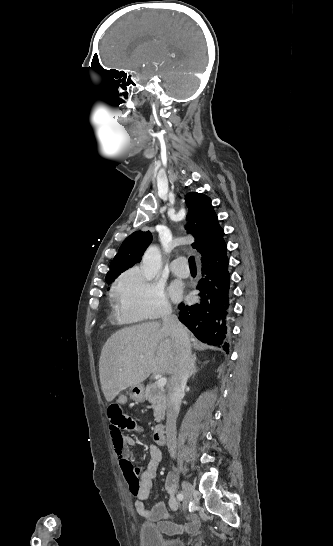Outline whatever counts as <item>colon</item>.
I'll list each match as a JSON object with an SVG mask.
<instances>
[{
	"label": "colon",
	"instance_id": "1",
	"mask_svg": "<svg viewBox=\"0 0 333 546\" xmlns=\"http://www.w3.org/2000/svg\"><path fill=\"white\" fill-rule=\"evenodd\" d=\"M106 410L108 418H123L124 416L121 400H110Z\"/></svg>",
	"mask_w": 333,
	"mask_h": 546
}]
</instances>
